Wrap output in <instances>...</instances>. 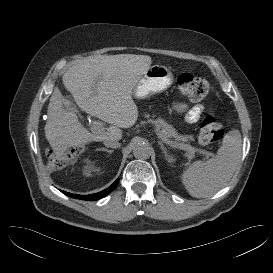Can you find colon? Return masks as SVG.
Returning <instances> with one entry per match:
<instances>
[{
  "mask_svg": "<svg viewBox=\"0 0 273 273\" xmlns=\"http://www.w3.org/2000/svg\"><path fill=\"white\" fill-rule=\"evenodd\" d=\"M177 85L180 92L190 99L199 100L208 96L212 90L210 82L200 76L190 73H182L177 78ZM224 136V127L213 115H207L201 122L199 131V142L208 146L219 142ZM66 165V159L49 156V167L51 170H58Z\"/></svg>",
  "mask_w": 273,
  "mask_h": 273,
  "instance_id": "5ec220e1",
  "label": "colon"
}]
</instances>
